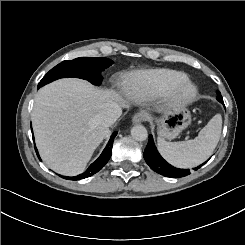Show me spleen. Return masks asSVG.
Listing matches in <instances>:
<instances>
[{"mask_svg": "<svg viewBox=\"0 0 245 245\" xmlns=\"http://www.w3.org/2000/svg\"><path fill=\"white\" fill-rule=\"evenodd\" d=\"M223 119L215 115L196 138L183 142H166L157 138V149L161 157L179 169H191L204 163L216 149L221 133Z\"/></svg>", "mask_w": 245, "mask_h": 245, "instance_id": "1", "label": "spleen"}]
</instances>
